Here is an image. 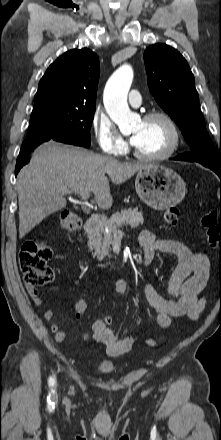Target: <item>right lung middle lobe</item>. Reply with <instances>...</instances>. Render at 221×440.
Wrapping results in <instances>:
<instances>
[{
    "mask_svg": "<svg viewBox=\"0 0 221 440\" xmlns=\"http://www.w3.org/2000/svg\"><path fill=\"white\" fill-rule=\"evenodd\" d=\"M95 105H80L60 101L34 103L27 139L35 137H62L90 146V128Z\"/></svg>",
    "mask_w": 221,
    "mask_h": 440,
    "instance_id": "right-lung-middle-lobe-1",
    "label": "right lung middle lobe"
}]
</instances>
